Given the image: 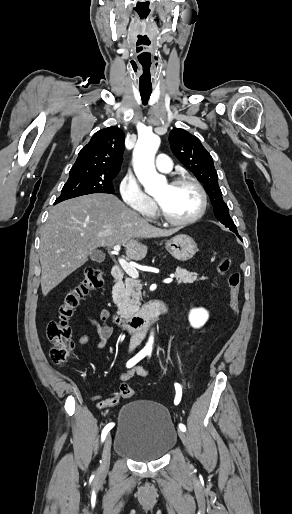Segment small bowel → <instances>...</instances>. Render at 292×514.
I'll use <instances>...</instances> for the list:
<instances>
[{"mask_svg": "<svg viewBox=\"0 0 292 514\" xmlns=\"http://www.w3.org/2000/svg\"><path fill=\"white\" fill-rule=\"evenodd\" d=\"M110 318V312L107 309H102L100 312V322L97 321L94 318L87 317L84 319V321L92 326L98 334V338L94 339L88 334H80L77 336L76 341L80 345H93L97 348H104L108 342V340L113 336L114 328L111 326L108 321ZM134 375L139 376H148L149 372L143 368V367H136L134 369H131L126 372L120 373V379L122 382H126L129 379H131ZM126 385V384H123ZM113 396V397H112ZM122 396V393L120 391H116L113 393H109V396L104 397L102 395H98L95 397L94 395H91L89 397V400L91 402H94L97 400V404L99 406H118L120 404V401L116 398H120Z\"/></svg>", "mask_w": 292, "mask_h": 514, "instance_id": "1", "label": "small bowel"}]
</instances>
